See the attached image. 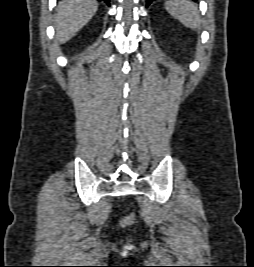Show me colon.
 Here are the masks:
<instances>
[{
	"instance_id": "5ec220e1",
	"label": "colon",
	"mask_w": 254,
	"mask_h": 267,
	"mask_svg": "<svg viewBox=\"0 0 254 267\" xmlns=\"http://www.w3.org/2000/svg\"><path fill=\"white\" fill-rule=\"evenodd\" d=\"M133 220H134L133 215H129V216L124 220V223H126V224H130V223L133 222Z\"/></svg>"
}]
</instances>
